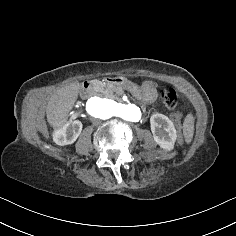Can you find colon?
<instances>
[{
    "label": "colon",
    "mask_w": 236,
    "mask_h": 236,
    "mask_svg": "<svg viewBox=\"0 0 236 236\" xmlns=\"http://www.w3.org/2000/svg\"><path fill=\"white\" fill-rule=\"evenodd\" d=\"M162 97L165 106L170 109L174 110L177 106V94L176 91L172 88H167L162 92ZM172 120L177 128H181V115L178 112H174L172 115Z\"/></svg>",
    "instance_id": "obj_1"
}]
</instances>
